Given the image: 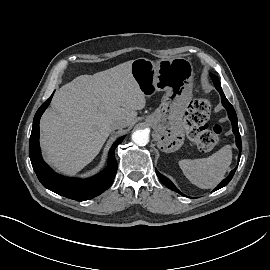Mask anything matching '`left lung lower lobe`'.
I'll return each instance as SVG.
<instances>
[{
  "mask_svg": "<svg viewBox=\"0 0 270 270\" xmlns=\"http://www.w3.org/2000/svg\"><path fill=\"white\" fill-rule=\"evenodd\" d=\"M220 95H221V100H222V104L223 106L226 108L227 112H228V116L231 120V123H232V129H233V133L235 134L236 136V146L239 148V150L241 151L242 150V144H241V137H240V133H239V129H238V120H237V115H236V112L233 108V106L230 104V102L226 99L223 91H220L219 92ZM240 156H241V153L239 154L238 156V160H240ZM237 168V167H236ZM236 168L234 170H232L229 174V176L224 179L216 188L215 190H218L224 186H226L232 179L235 171H236ZM156 174L157 176L159 177V179L161 180V182L166 185L169 189L173 190V191H176L177 193L183 195L174 185L173 183L167 179L165 176H163L162 174H160L157 170H156Z\"/></svg>",
  "mask_w": 270,
  "mask_h": 270,
  "instance_id": "left-lung-lower-lobe-1",
  "label": "left lung lower lobe"
}]
</instances>
